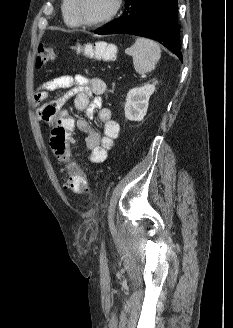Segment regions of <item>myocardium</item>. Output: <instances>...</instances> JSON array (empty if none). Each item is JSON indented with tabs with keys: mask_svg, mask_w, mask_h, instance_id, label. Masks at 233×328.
<instances>
[{
	"mask_svg": "<svg viewBox=\"0 0 233 328\" xmlns=\"http://www.w3.org/2000/svg\"><path fill=\"white\" fill-rule=\"evenodd\" d=\"M123 6V0H114V6L111 10V12L104 18L94 21V22H89L86 21L82 18L81 13H80V0H74V14L76 17V20L79 25L85 26V27H98L101 25H104L110 21H112L116 16L119 14L120 10L122 9Z\"/></svg>",
	"mask_w": 233,
	"mask_h": 328,
	"instance_id": "f54148a6",
	"label": "myocardium"
}]
</instances>
